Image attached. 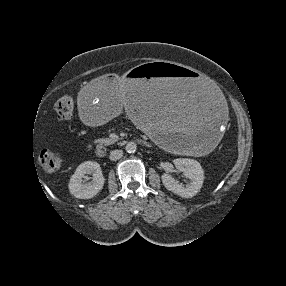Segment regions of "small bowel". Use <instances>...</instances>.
Here are the masks:
<instances>
[{
	"label": "small bowel",
	"instance_id": "1",
	"mask_svg": "<svg viewBox=\"0 0 286 286\" xmlns=\"http://www.w3.org/2000/svg\"><path fill=\"white\" fill-rule=\"evenodd\" d=\"M92 143H88L87 144V146H86V149L88 150V151H90V150H92Z\"/></svg>",
	"mask_w": 286,
	"mask_h": 286
}]
</instances>
